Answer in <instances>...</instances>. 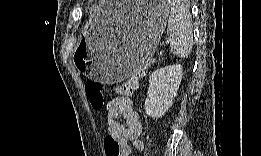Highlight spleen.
<instances>
[{
  "label": "spleen",
  "mask_w": 261,
  "mask_h": 156,
  "mask_svg": "<svg viewBox=\"0 0 261 156\" xmlns=\"http://www.w3.org/2000/svg\"><path fill=\"white\" fill-rule=\"evenodd\" d=\"M170 16L167 32L170 35L171 52L178 57H187L194 44L193 26L189 8L182 1L168 2Z\"/></svg>",
  "instance_id": "obj_1"
}]
</instances>
